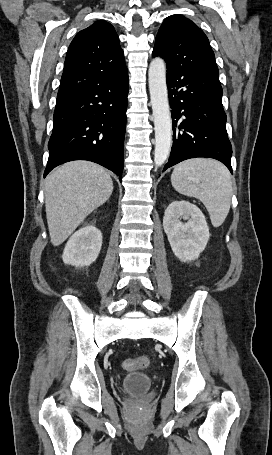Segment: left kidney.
Returning <instances> with one entry per match:
<instances>
[{
    "label": "left kidney",
    "instance_id": "left-kidney-1",
    "mask_svg": "<svg viewBox=\"0 0 272 455\" xmlns=\"http://www.w3.org/2000/svg\"><path fill=\"white\" fill-rule=\"evenodd\" d=\"M183 218L186 223L180 221ZM163 228L175 256L189 262L199 257L209 240V228L201 210L187 201H173L163 217Z\"/></svg>",
    "mask_w": 272,
    "mask_h": 455
}]
</instances>
